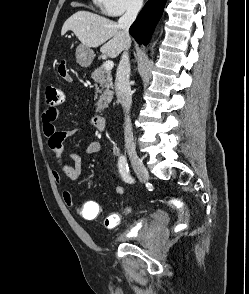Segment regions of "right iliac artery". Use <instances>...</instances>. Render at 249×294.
Here are the masks:
<instances>
[{"label":"right iliac artery","instance_id":"obj_1","mask_svg":"<svg viewBox=\"0 0 249 294\" xmlns=\"http://www.w3.org/2000/svg\"><path fill=\"white\" fill-rule=\"evenodd\" d=\"M119 172L123 180L127 183H134V179L130 176L129 167L124 155H121L118 161Z\"/></svg>","mask_w":249,"mask_h":294}]
</instances>
